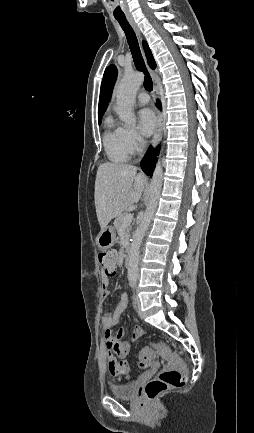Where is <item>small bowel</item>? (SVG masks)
<instances>
[{
	"instance_id": "small-bowel-1",
	"label": "small bowel",
	"mask_w": 254,
	"mask_h": 433,
	"mask_svg": "<svg viewBox=\"0 0 254 433\" xmlns=\"http://www.w3.org/2000/svg\"><path fill=\"white\" fill-rule=\"evenodd\" d=\"M108 279L103 282V293L107 297ZM127 306V296L122 295L114 311L105 313L101 317V324L105 334V346L107 349V364L112 376L120 378L129 372L130 366L125 358L130 353L131 342L141 336V328H135L129 341L122 340L125 335V329L121 328L113 332L112 328L119 322Z\"/></svg>"
}]
</instances>
